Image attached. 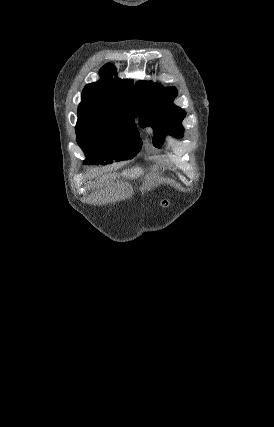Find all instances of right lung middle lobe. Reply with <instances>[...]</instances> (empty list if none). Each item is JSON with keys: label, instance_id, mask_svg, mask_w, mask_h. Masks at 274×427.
<instances>
[{"label": "right lung middle lobe", "instance_id": "right-lung-middle-lobe-1", "mask_svg": "<svg viewBox=\"0 0 274 427\" xmlns=\"http://www.w3.org/2000/svg\"><path fill=\"white\" fill-rule=\"evenodd\" d=\"M137 116L126 111L78 114L77 142L91 163L128 160L140 151L142 142L134 122Z\"/></svg>", "mask_w": 274, "mask_h": 427}]
</instances>
